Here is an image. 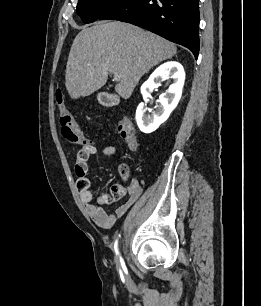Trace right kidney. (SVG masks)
Returning a JSON list of instances; mask_svg holds the SVG:
<instances>
[{
    "label": "right kidney",
    "instance_id": "obj_1",
    "mask_svg": "<svg viewBox=\"0 0 261 306\" xmlns=\"http://www.w3.org/2000/svg\"><path fill=\"white\" fill-rule=\"evenodd\" d=\"M159 78H172L173 83L168 89V93L162 94L158 102L161 106L153 113V116L146 114V104L140 103L136 110V122L139 129L144 133L155 131L164 123L178 105L185 81V72L182 65L176 61H169L160 65L142 85L141 94L145 100L150 96L154 88H157Z\"/></svg>",
    "mask_w": 261,
    "mask_h": 306
}]
</instances>
